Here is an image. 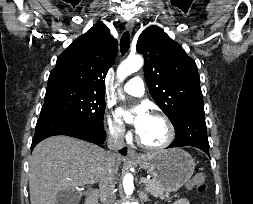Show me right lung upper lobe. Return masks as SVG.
Masks as SVG:
<instances>
[{"instance_id":"1","label":"right lung upper lobe","mask_w":253,"mask_h":204,"mask_svg":"<svg viewBox=\"0 0 253 204\" xmlns=\"http://www.w3.org/2000/svg\"><path fill=\"white\" fill-rule=\"evenodd\" d=\"M116 53L117 40L106 25L99 22L57 58L48 85H72L103 95V79L113 65Z\"/></svg>"}]
</instances>
